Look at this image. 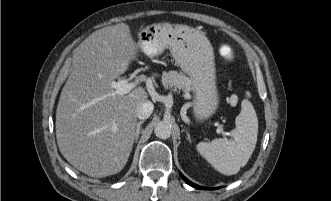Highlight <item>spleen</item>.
<instances>
[{
    "instance_id": "3e777b00",
    "label": "spleen",
    "mask_w": 331,
    "mask_h": 201,
    "mask_svg": "<svg viewBox=\"0 0 331 201\" xmlns=\"http://www.w3.org/2000/svg\"><path fill=\"white\" fill-rule=\"evenodd\" d=\"M235 123L232 139L218 138L211 142H200L196 146L201 156L224 175L238 173L240 168L247 164L255 149L258 118L249 100H243Z\"/></svg>"
}]
</instances>
